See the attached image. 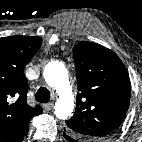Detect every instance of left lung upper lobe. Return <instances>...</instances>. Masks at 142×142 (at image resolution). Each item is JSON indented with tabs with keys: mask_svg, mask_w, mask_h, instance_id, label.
<instances>
[{
	"mask_svg": "<svg viewBox=\"0 0 142 142\" xmlns=\"http://www.w3.org/2000/svg\"><path fill=\"white\" fill-rule=\"evenodd\" d=\"M78 93L65 131L76 141L106 142L123 122L130 102V80L119 57L93 42L73 49Z\"/></svg>",
	"mask_w": 142,
	"mask_h": 142,
	"instance_id": "5c2ea615",
	"label": "left lung upper lobe"
}]
</instances>
